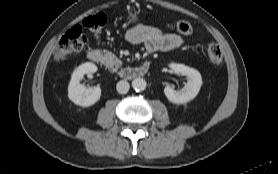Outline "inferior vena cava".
<instances>
[{
	"instance_id": "1",
	"label": "inferior vena cava",
	"mask_w": 278,
	"mask_h": 174,
	"mask_svg": "<svg viewBox=\"0 0 278 174\" xmlns=\"http://www.w3.org/2000/svg\"><path fill=\"white\" fill-rule=\"evenodd\" d=\"M129 87H130L129 83L125 80L119 81L116 85L117 92L120 94L127 93L129 90Z\"/></svg>"
}]
</instances>
